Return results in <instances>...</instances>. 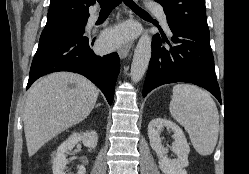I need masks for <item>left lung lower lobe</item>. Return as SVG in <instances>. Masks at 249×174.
<instances>
[{
	"instance_id": "obj_1",
	"label": "left lung lower lobe",
	"mask_w": 249,
	"mask_h": 174,
	"mask_svg": "<svg viewBox=\"0 0 249 174\" xmlns=\"http://www.w3.org/2000/svg\"><path fill=\"white\" fill-rule=\"evenodd\" d=\"M173 33L174 46L167 48L162 42L169 41L157 33L152 39V56L146 75L143 96L154 88L168 83L187 82L205 88L221 103L214 57L210 47L209 29L179 25L167 19Z\"/></svg>"
}]
</instances>
